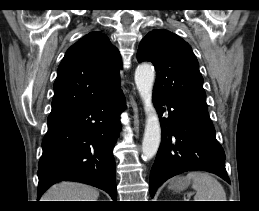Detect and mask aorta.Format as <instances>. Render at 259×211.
Masks as SVG:
<instances>
[{
  "label": "aorta",
  "instance_id": "obj_1",
  "mask_svg": "<svg viewBox=\"0 0 259 211\" xmlns=\"http://www.w3.org/2000/svg\"><path fill=\"white\" fill-rule=\"evenodd\" d=\"M154 79V67L150 64H141L136 68L135 84L142 99L146 114V125L142 141V157L145 160L154 157L161 141L160 122L152 103Z\"/></svg>",
  "mask_w": 259,
  "mask_h": 211
}]
</instances>
